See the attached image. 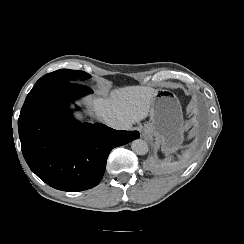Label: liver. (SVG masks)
<instances>
[{
	"instance_id": "obj_1",
	"label": "liver",
	"mask_w": 244,
	"mask_h": 244,
	"mask_svg": "<svg viewBox=\"0 0 244 244\" xmlns=\"http://www.w3.org/2000/svg\"><path fill=\"white\" fill-rule=\"evenodd\" d=\"M155 90L146 87H128L117 89L110 100L97 99L95 112L100 118H115L120 123L131 125L146 119L154 101Z\"/></svg>"
}]
</instances>
